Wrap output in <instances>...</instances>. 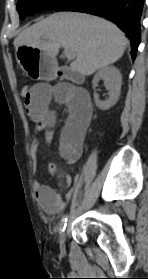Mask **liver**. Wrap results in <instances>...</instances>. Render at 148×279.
<instances>
[{"instance_id": "1", "label": "liver", "mask_w": 148, "mask_h": 279, "mask_svg": "<svg viewBox=\"0 0 148 279\" xmlns=\"http://www.w3.org/2000/svg\"><path fill=\"white\" fill-rule=\"evenodd\" d=\"M128 40L113 23L77 12H58L23 30L14 46L37 48L55 59L60 47L71 49L73 72L91 75L120 59Z\"/></svg>"}]
</instances>
